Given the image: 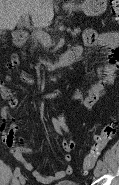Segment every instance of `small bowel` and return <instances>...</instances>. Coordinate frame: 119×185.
<instances>
[{"label":"small bowel","mask_w":119,"mask_h":185,"mask_svg":"<svg viewBox=\"0 0 119 185\" xmlns=\"http://www.w3.org/2000/svg\"><path fill=\"white\" fill-rule=\"evenodd\" d=\"M84 43L87 46L93 47L107 56L108 62L106 65L98 69V80L86 85L87 95L85 98H80L77 92L72 93V100H79L81 105L85 108L92 107L102 96L104 88L110 85L115 80L116 70L119 65V33L115 31L109 32H97L94 29H87L83 33ZM82 49V47L79 46ZM20 60L14 56L7 64V75L5 79L0 83L1 96L9 101V106L2 108V116L4 119H11L12 125L8 132L2 133V140L4 144L10 149L14 157L23 164V166L32 173L34 178L44 184L58 181L62 178L69 176L72 173V167L69 163L72 160L70 152L74 149L75 143L71 139V133L67 126V123L62 118H53L51 120L52 126L63 137V149L65 154L63 156V162L66 166L53 173L44 174L37 170L32 164L24 160L23 154L31 153L33 150L26 144L22 137H18L21 142V146H15V136L19 132V123L23 120L14 118L10 109H17L18 99L15 95V91L9 86V83L13 80L12 69L19 66ZM20 81L26 84H32L33 80L25 73L18 75Z\"/></svg>","instance_id":"c3829d8e"}]
</instances>
